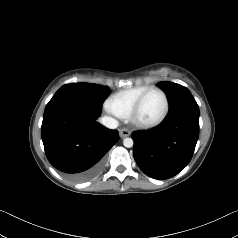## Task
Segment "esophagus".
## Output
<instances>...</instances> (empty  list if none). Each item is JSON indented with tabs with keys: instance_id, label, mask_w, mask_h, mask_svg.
<instances>
[{
	"instance_id": "34e87169",
	"label": "esophagus",
	"mask_w": 238,
	"mask_h": 238,
	"mask_svg": "<svg viewBox=\"0 0 238 238\" xmlns=\"http://www.w3.org/2000/svg\"><path fill=\"white\" fill-rule=\"evenodd\" d=\"M119 134L121 138H125L128 137L131 134V132L128 129L124 128L119 131Z\"/></svg>"
}]
</instances>
